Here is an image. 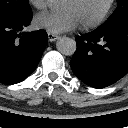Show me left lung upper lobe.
I'll list each match as a JSON object with an SVG mask.
<instances>
[{
  "label": "left lung upper lobe",
  "instance_id": "left-lung-upper-lobe-1",
  "mask_svg": "<svg viewBox=\"0 0 128 128\" xmlns=\"http://www.w3.org/2000/svg\"><path fill=\"white\" fill-rule=\"evenodd\" d=\"M117 2H118V7L116 8V10L109 17V19L105 21L97 29H104L109 26L128 20V0H117Z\"/></svg>",
  "mask_w": 128,
  "mask_h": 128
}]
</instances>
